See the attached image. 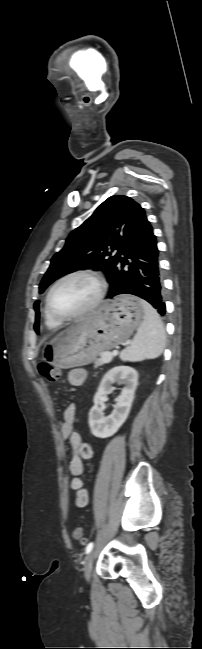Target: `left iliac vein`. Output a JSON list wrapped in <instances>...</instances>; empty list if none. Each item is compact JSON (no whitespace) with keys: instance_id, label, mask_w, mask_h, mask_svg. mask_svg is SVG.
I'll use <instances>...</instances> for the list:
<instances>
[{"instance_id":"4c4485c4","label":"left iliac vein","mask_w":202,"mask_h":649,"mask_svg":"<svg viewBox=\"0 0 202 649\" xmlns=\"http://www.w3.org/2000/svg\"><path fill=\"white\" fill-rule=\"evenodd\" d=\"M94 558H95V551L93 550L87 556L85 564H84V576H85L87 581H89L90 578H91Z\"/></svg>"}]
</instances>
